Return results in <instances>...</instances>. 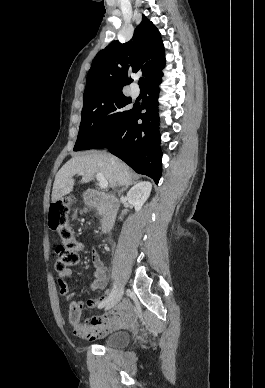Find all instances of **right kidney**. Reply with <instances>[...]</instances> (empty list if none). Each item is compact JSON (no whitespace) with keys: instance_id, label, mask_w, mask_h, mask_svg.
Instances as JSON below:
<instances>
[{"instance_id":"right-kidney-1","label":"right kidney","mask_w":265,"mask_h":388,"mask_svg":"<svg viewBox=\"0 0 265 388\" xmlns=\"http://www.w3.org/2000/svg\"><path fill=\"white\" fill-rule=\"evenodd\" d=\"M151 190V182H139V184H136V186H133V188L129 190L127 200L129 204L134 206L136 212H140L143 204L148 200Z\"/></svg>"}]
</instances>
